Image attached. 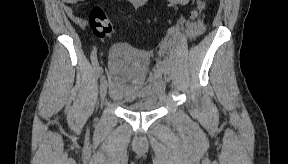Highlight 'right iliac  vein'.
Wrapping results in <instances>:
<instances>
[{
    "instance_id": "1",
    "label": "right iliac vein",
    "mask_w": 288,
    "mask_h": 164,
    "mask_svg": "<svg viewBox=\"0 0 288 164\" xmlns=\"http://www.w3.org/2000/svg\"><path fill=\"white\" fill-rule=\"evenodd\" d=\"M107 81L105 79V77H102L101 79V84H100V97H101V100H102V103L106 97V94H107Z\"/></svg>"
}]
</instances>
